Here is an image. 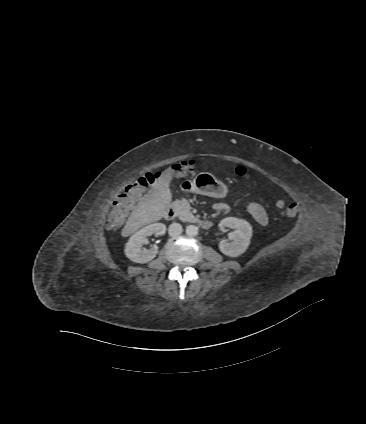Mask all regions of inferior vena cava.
<instances>
[{
	"instance_id": "602c4592",
	"label": "inferior vena cava",
	"mask_w": 366,
	"mask_h": 424,
	"mask_svg": "<svg viewBox=\"0 0 366 424\" xmlns=\"http://www.w3.org/2000/svg\"><path fill=\"white\" fill-rule=\"evenodd\" d=\"M183 229L179 223H172L168 229L170 236H178L182 233Z\"/></svg>"
}]
</instances>
